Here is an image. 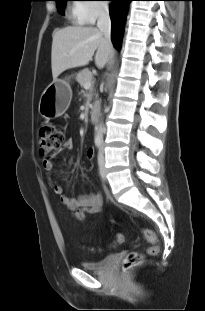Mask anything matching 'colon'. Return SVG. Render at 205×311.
Masks as SVG:
<instances>
[{"label":"colon","instance_id":"colon-1","mask_svg":"<svg viewBox=\"0 0 205 311\" xmlns=\"http://www.w3.org/2000/svg\"><path fill=\"white\" fill-rule=\"evenodd\" d=\"M64 140V134L60 128H58L54 124H46L40 130V154L43 157H47L48 155L56 152L62 145ZM143 235L146 240L152 243V246L148 249V253L150 255H156L159 252V247L157 246V236L156 234L149 229L143 230ZM124 242V235L122 233H118L115 238L114 245H119ZM142 260V256L138 253H132L125 260L124 266L125 268H131L137 264H139Z\"/></svg>","mask_w":205,"mask_h":311}]
</instances>
